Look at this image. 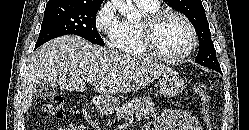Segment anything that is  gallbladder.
I'll return each instance as SVG.
<instances>
[{
    "mask_svg": "<svg viewBox=\"0 0 249 130\" xmlns=\"http://www.w3.org/2000/svg\"><path fill=\"white\" fill-rule=\"evenodd\" d=\"M57 93L56 87L48 82L40 81L35 87L34 95L40 98H47Z\"/></svg>",
    "mask_w": 249,
    "mask_h": 130,
    "instance_id": "obj_1",
    "label": "gallbladder"
}]
</instances>
